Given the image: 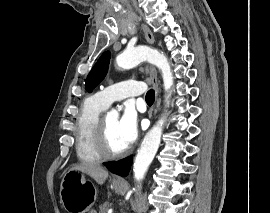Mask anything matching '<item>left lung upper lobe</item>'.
Wrapping results in <instances>:
<instances>
[{"label": "left lung upper lobe", "mask_w": 270, "mask_h": 213, "mask_svg": "<svg viewBox=\"0 0 270 213\" xmlns=\"http://www.w3.org/2000/svg\"><path fill=\"white\" fill-rule=\"evenodd\" d=\"M110 61V52H104L86 79V90L91 92L106 76Z\"/></svg>", "instance_id": "1"}]
</instances>
